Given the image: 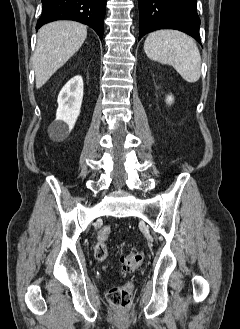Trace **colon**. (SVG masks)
Listing matches in <instances>:
<instances>
[{
  "label": "colon",
  "instance_id": "1",
  "mask_svg": "<svg viewBox=\"0 0 240 329\" xmlns=\"http://www.w3.org/2000/svg\"><path fill=\"white\" fill-rule=\"evenodd\" d=\"M111 233L109 225L103 226L97 234V244L95 246V257L104 261L107 258L106 242ZM144 260V255L140 251H132L121 258V264L124 271H132L138 268ZM133 287L130 283H124L111 288L107 293L109 303L115 307L127 310L131 307L133 301Z\"/></svg>",
  "mask_w": 240,
  "mask_h": 329
}]
</instances>
